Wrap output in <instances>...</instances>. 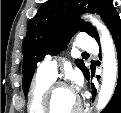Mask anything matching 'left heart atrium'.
I'll use <instances>...</instances> for the list:
<instances>
[{
	"instance_id": "obj_1",
	"label": "left heart atrium",
	"mask_w": 121,
	"mask_h": 113,
	"mask_svg": "<svg viewBox=\"0 0 121 113\" xmlns=\"http://www.w3.org/2000/svg\"><path fill=\"white\" fill-rule=\"evenodd\" d=\"M76 82L80 84V81H79V79H77V80H76Z\"/></svg>"
}]
</instances>
